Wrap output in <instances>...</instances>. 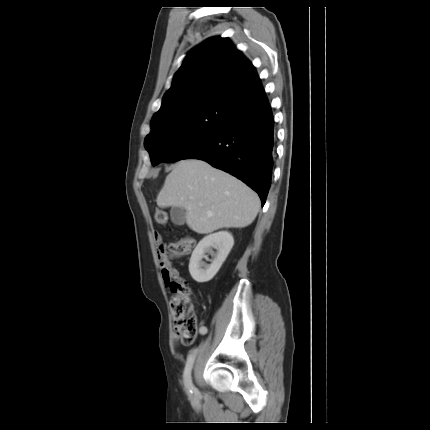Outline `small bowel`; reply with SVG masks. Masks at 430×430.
<instances>
[{
	"label": "small bowel",
	"instance_id": "small-bowel-1",
	"mask_svg": "<svg viewBox=\"0 0 430 430\" xmlns=\"http://www.w3.org/2000/svg\"><path fill=\"white\" fill-rule=\"evenodd\" d=\"M155 241L157 244V248L160 245H164L162 237L160 234L156 233L155 234ZM157 259H158V263L160 265L161 268V272H162V281L165 283V285L167 287H172L174 285V280L173 278H177L179 276V271L178 269L172 267L169 263V258L168 256H166V254L163 251H160L157 254ZM208 331V328L205 325H201L199 327V334L200 335H205ZM173 341L175 343L178 342V335L176 333L173 334L172 336Z\"/></svg>",
	"mask_w": 430,
	"mask_h": 430
}]
</instances>
